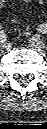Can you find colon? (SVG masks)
Listing matches in <instances>:
<instances>
[{
    "label": "colon",
    "instance_id": "colon-1",
    "mask_svg": "<svg viewBox=\"0 0 47 129\" xmlns=\"http://www.w3.org/2000/svg\"><path fill=\"white\" fill-rule=\"evenodd\" d=\"M32 0H25V2H31Z\"/></svg>",
    "mask_w": 47,
    "mask_h": 129
}]
</instances>
